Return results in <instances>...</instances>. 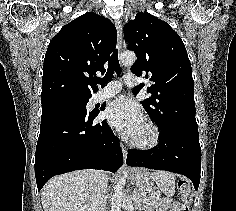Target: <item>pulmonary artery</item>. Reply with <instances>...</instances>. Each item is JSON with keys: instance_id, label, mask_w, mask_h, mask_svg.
I'll use <instances>...</instances> for the list:
<instances>
[{"instance_id": "e3ab8cb5", "label": "pulmonary artery", "mask_w": 236, "mask_h": 211, "mask_svg": "<svg viewBox=\"0 0 236 211\" xmlns=\"http://www.w3.org/2000/svg\"><path fill=\"white\" fill-rule=\"evenodd\" d=\"M139 83L140 79L136 75L127 73L123 81H111L106 83L101 90L93 95L92 101L98 102L116 95L120 91L122 84H125L128 87H134L139 85Z\"/></svg>"}]
</instances>
